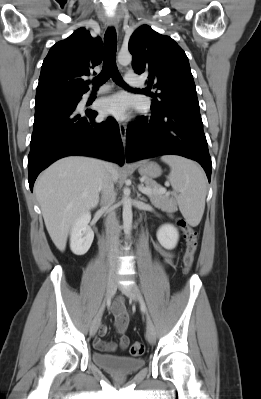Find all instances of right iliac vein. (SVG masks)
I'll return each instance as SVG.
<instances>
[{
  "label": "right iliac vein",
  "instance_id": "right-iliac-vein-1",
  "mask_svg": "<svg viewBox=\"0 0 261 399\" xmlns=\"http://www.w3.org/2000/svg\"><path fill=\"white\" fill-rule=\"evenodd\" d=\"M116 283H117V278L114 274H109L107 278V285H106V295L107 298H111L116 291ZM101 316L102 312L100 311L92 320L91 325H90V335L94 336L99 328L100 322H101Z\"/></svg>",
  "mask_w": 261,
  "mask_h": 399
}]
</instances>
